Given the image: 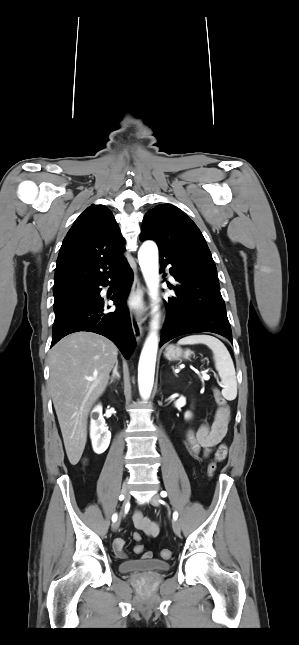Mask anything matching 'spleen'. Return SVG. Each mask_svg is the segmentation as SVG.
<instances>
[{
	"mask_svg": "<svg viewBox=\"0 0 299 645\" xmlns=\"http://www.w3.org/2000/svg\"><path fill=\"white\" fill-rule=\"evenodd\" d=\"M193 344H205L212 350L215 368L223 384L222 395L227 400H234L237 396L236 373L232 358L225 345L210 335H190L178 341V345Z\"/></svg>",
	"mask_w": 299,
	"mask_h": 645,
	"instance_id": "obj_1",
	"label": "spleen"
}]
</instances>
